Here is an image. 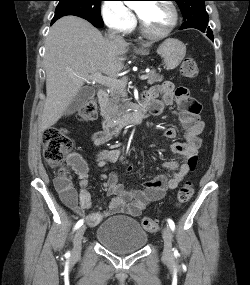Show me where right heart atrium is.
Segmentation results:
<instances>
[{"mask_svg":"<svg viewBox=\"0 0 250 285\" xmlns=\"http://www.w3.org/2000/svg\"><path fill=\"white\" fill-rule=\"evenodd\" d=\"M104 23L111 29L127 33L135 25V16L122 0H105L101 7Z\"/></svg>","mask_w":250,"mask_h":285,"instance_id":"d8ad5b80","label":"right heart atrium"}]
</instances>
